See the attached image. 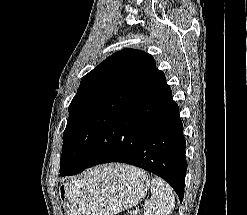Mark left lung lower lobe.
<instances>
[{
  "label": "left lung lower lobe",
  "mask_w": 247,
  "mask_h": 215,
  "mask_svg": "<svg viewBox=\"0 0 247 215\" xmlns=\"http://www.w3.org/2000/svg\"><path fill=\"white\" fill-rule=\"evenodd\" d=\"M179 108L158 70L108 132L79 151L75 163L60 172L75 175L108 162L131 164L166 180L182 202L187 162Z\"/></svg>",
  "instance_id": "1"
}]
</instances>
